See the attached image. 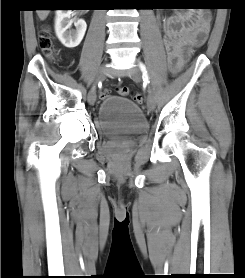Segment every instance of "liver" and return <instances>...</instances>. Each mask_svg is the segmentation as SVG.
I'll return each instance as SVG.
<instances>
[{"mask_svg":"<svg viewBox=\"0 0 245 278\" xmlns=\"http://www.w3.org/2000/svg\"><path fill=\"white\" fill-rule=\"evenodd\" d=\"M49 14V10H37V15L40 20H45Z\"/></svg>","mask_w":245,"mask_h":278,"instance_id":"1","label":"liver"}]
</instances>
